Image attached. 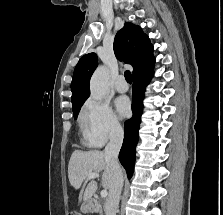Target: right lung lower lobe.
<instances>
[{"label":"right lung lower lobe","instance_id":"obj_1","mask_svg":"<svg viewBox=\"0 0 223 215\" xmlns=\"http://www.w3.org/2000/svg\"><path fill=\"white\" fill-rule=\"evenodd\" d=\"M153 75L152 69L146 73L139 74L133 77V99L131 119L125 121L124 141L119 153V160L126 169L127 176L130 179L134 171L136 144L138 142V130L141 122L142 114V99L144 96L145 86L149 83Z\"/></svg>","mask_w":223,"mask_h":215}]
</instances>
